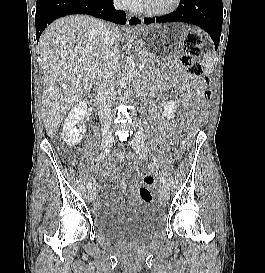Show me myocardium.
<instances>
[{
	"instance_id": "obj_1",
	"label": "myocardium",
	"mask_w": 265,
	"mask_h": 273,
	"mask_svg": "<svg viewBox=\"0 0 265 273\" xmlns=\"http://www.w3.org/2000/svg\"><path fill=\"white\" fill-rule=\"evenodd\" d=\"M180 1L181 0H172L169 6L162 9H155L142 3L139 10L149 16H165L174 12L179 7Z\"/></svg>"
}]
</instances>
